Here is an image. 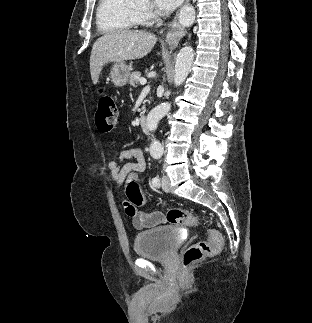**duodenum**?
Masks as SVG:
<instances>
[{
	"mask_svg": "<svg viewBox=\"0 0 312 323\" xmlns=\"http://www.w3.org/2000/svg\"><path fill=\"white\" fill-rule=\"evenodd\" d=\"M138 123H139V127L141 128L142 131H144V132L149 131L148 121H147V118L145 115L139 116Z\"/></svg>",
	"mask_w": 312,
	"mask_h": 323,
	"instance_id": "duodenum-1",
	"label": "duodenum"
}]
</instances>
